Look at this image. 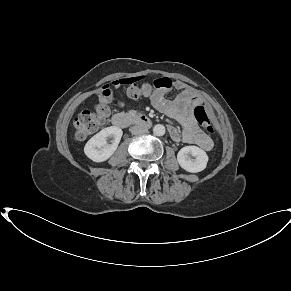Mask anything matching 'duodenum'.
<instances>
[{
	"instance_id": "410a0bca",
	"label": "duodenum",
	"mask_w": 291,
	"mask_h": 291,
	"mask_svg": "<svg viewBox=\"0 0 291 291\" xmlns=\"http://www.w3.org/2000/svg\"><path fill=\"white\" fill-rule=\"evenodd\" d=\"M112 123L114 126L119 128H127L131 125H139L142 127H150L151 120L148 116L143 114H126V113H117L112 117Z\"/></svg>"
}]
</instances>
